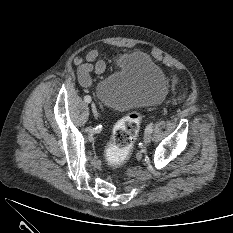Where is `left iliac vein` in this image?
Here are the masks:
<instances>
[{
	"label": "left iliac vein",
	"instance_id": "4c4485c4",
	"mask_svg": "<svg viewBox=\"0 0 233 233\" xmlns=\"http://www.w3.org/2000/svg\"><path fill=\"white\" fill-rule=\"evenodd\" d=\"M152 139V135L151 132L146 131L145 135H144V142L145 143H149Z\"/></svg>",
	"mask_w": 233,
	"mask_h": 233
}]
</instances>
